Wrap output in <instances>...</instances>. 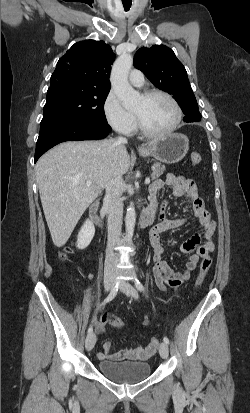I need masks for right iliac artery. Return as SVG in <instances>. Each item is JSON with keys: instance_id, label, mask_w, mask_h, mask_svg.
<instances>
[{"instance_id": "82829eb1", "label": "right iliac artery", "mask_w": 250, "mask_h": 413, "mask_svg": "<svg viewBox=\"0 0 250 413\" xmlns=\"http://www.w3.org/2000/svg\"><path fill=\"white\" fill-rule=\"evenodd\" d=\"M118 287H119V284H116V285L112 288L111 292L109 293V295L107 296V298H105L104 301L100 304V306H104L106 303H108L109 301H111V300L117 295ZM92 331H93V326L90 325L89 328H88V334L92 333Z\"/></svg>"}]
</instances>
